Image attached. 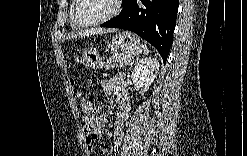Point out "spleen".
I'll return each instance as SVG.
<instances>
[{
	"instance_id": "obj_1",
	"label": "spleen",
	"mask_w": 247,
	"mask_h": 156,
	"mask_svg": "<svg viewBox=\"0 0 247 156\" xmlns=\"http://www.w3.org/2000/svg\"><path fill=\"white\" fill-rule=\"evenodd\" d=\"M142 47H143V51H144L145 54L149 53L147 45H142Z\"/></svg>"
}]
</instances>
